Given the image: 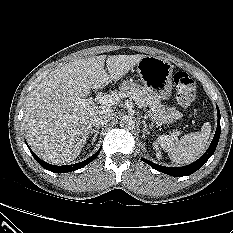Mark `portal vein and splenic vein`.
I'll return each mask as SVG.
<instances>
[{
    "mask_svg": "<svg viewBox=\"0 0 233 233\" xmlns=\"http://www.w3.org/2000/svg\"><path fill=\"white\" fill-rule=\"evenodd\" d=\"M88 102L93 103L92 100H88ZM118 98L112 95H104L99 99V103L102 105L112 106L117 104ZM80 103L85 104L87 103V100L82 99ZM139 105V104H138ZM140 106V105H139Z\"/></svg>",
    "mask_w": 233,
    "mask_h": 233,
    "instance_id": "obj_1",
    "label": "portal vein and splenic vein"
}]
</instances>
